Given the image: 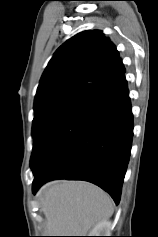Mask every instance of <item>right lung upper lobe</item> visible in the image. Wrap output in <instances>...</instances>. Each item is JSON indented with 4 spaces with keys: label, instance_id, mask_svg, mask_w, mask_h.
I'll use <instances>...</instances> for the list:
<instances>
[{
    "label": "right lung upper lobe",
    "instance_id": "right-lung-upper-lobe-1",
    "mask_svg": "<svg viewBox=\"0 0 158 237\" xmlns=\"http://www.w3.org/2000/svg\"><path fill=\"white\" fill-rule=\"evenodd\" d=\"M125 69L119 53L102 31H83L58 48L37 88L35 103L57 97L81 102L122 77Z\"/></svg>",
    "mask_w": 158,
    "mask_h": 237
}]
</instances>
